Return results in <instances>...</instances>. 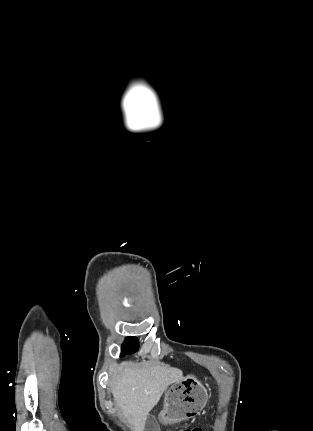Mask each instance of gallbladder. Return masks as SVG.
Wrapping results in <instances>:
<instances>
[{"mask_svg": "<svg viewBox=\"0 0 313 431\" xmlns=\"http://www.w3.org/2000/svg\"><path fill=\"white\" fill-rule=\"evenodd\" d=\"M146 428L148 431H157V429H158L157 422H156L154 417L148 418L147 423H146Z\"/></svg>", "mask_w": 313, "mask_h": 431, "instance_id": "bac80fb5", "label": "gallbladder"}]
</instances>
